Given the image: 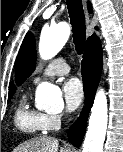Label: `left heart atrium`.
Segmentation results:
<instances>
[{
    "mask_svg": "<svg viewBox=\"0 0 123 152\" xmlns=\"http://www.w3.org/2000/svg\"><path fill=\"white\" fill-rule=\"evenodd\" d=\"M63 97L68 111L76 110L83 100V86L77 78H70L62 86Z\"/></svg>",
    "mask_w": 123,
    "mask_h": 152,
    "instance_id": "1",
    "label": "left heart atrium"
}]
</instances>
